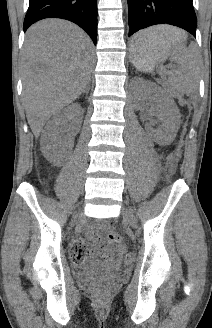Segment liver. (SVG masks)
I'll use <instances>...</instances> for the list:
<instances>
[{
    "instance_id": "6515ba94",
    "label": "liver",
    "mask_w": 212,
    "mask_h": 328,
    "mask_svg": "<svg viewBox=\"0 0 212 328\" xmlns=\"http://www.w3.org/2000/svg\"><path fill=\"white\" fill-rule=\"evenodd\" d=\"M92 66L93 43L77 25L45 19L28 29L21 71L26 117L36 137L53 114L84 92Z\"/></svg>"
}]
</instances>
